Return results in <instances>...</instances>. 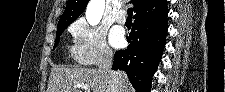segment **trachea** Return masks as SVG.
<instances>
[{"label": "trachea", "mask_w": 225, "mask_h": 92, "mask_svg": "<svg viewBox=\"0 0 225 92\" xmlns=\"http://www.w3.org/2000/svg\"><path fill=\"white\" fill-rule=\"evenodd\" d=\"M127 19H132V15H133V8H128L127 10Z\"/></svg>", "instance_id": "1"}]
</instances>
